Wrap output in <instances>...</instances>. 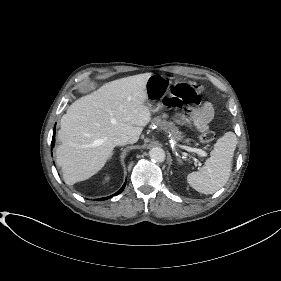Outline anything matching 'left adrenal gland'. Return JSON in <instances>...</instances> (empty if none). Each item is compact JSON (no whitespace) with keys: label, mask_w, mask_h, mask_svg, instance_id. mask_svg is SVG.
Segmentation results:
<instances>
[{"label":"left adrenal gland","mask_w":281,"mask_h":281,"mask_svg":"<svg viewBox=\"0 0 281 281\" xmlns=\"http://www.w3.org/2000/svg\"><path fill=\"white\" fill-rule=\"evenodd\" d=\"M177 160H178V162H179V163H181V164H182V161H181L179 158H177Z\"/></svg>","instance_id":"left-adrenal-gland-1"}]
</instances>
